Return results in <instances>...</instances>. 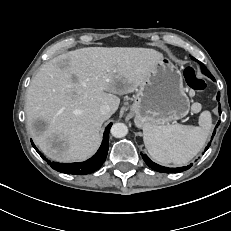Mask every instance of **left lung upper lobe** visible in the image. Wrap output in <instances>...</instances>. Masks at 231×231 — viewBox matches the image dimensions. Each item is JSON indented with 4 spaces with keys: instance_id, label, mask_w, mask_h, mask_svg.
Returning a JSON list of instances; mask_svg holds the SVG:
<instances>
[{
    "instance_id": "obj_1",
    "label": "left lung upper lobe",
    "mask_w": 231,
    "mask_h": 231,
    "mask_svg": "<svg viewBox=\"0 0 231 231\" xmlns=\"http://www.w3.org/2000/svg\"><path fill=\"white\" fill-rule=\"evenodd\" d=\"M193 60H196L195 58H192ZM200 66H201V69H202V72L207 75L209 78H213L212 74L207 70V68L204 66L203 63L199 62L198 60H196Z\"/></svg>"
}]
</instances>
